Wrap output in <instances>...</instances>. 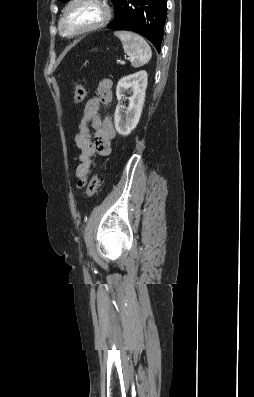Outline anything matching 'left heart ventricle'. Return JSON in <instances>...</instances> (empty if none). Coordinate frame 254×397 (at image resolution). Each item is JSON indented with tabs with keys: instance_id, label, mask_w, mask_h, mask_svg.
<instances>
[{
	"instance_id": "b2bd125f",
	"label": "left heart ventricle",
	"mask_w": 254,
	"mask_h": 397,
	"mask_svg": "<svg viewBox=\"0 0 254 397\" xmlns=\"http://www.w3.org/2000/svg\"><path fill=\"white\" fill-rule=\"evenodd\" d=\"M102 15L99 6L93 3H80L74 6L63 23L66 33L76 31L84 26L96 22Z\"/></svg>"
}]
</instances>
